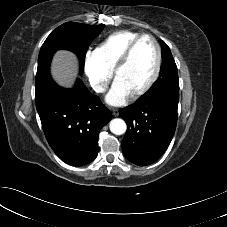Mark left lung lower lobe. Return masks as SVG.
<instances>
[{
  "instance_id": "0a47b994",
  "label": "left lung lower lobe",
  "mask_w": 227,
  "mask_h": 227,
  "mask_svg": "<svg viewBox=\"0 0 227 227\" xmlns=\"http://www.w3.org/2000/svg\"><path fill=\"white\" fill-rule=\"evenodd\" d=\"M178 102L179 96L159 92L120 110L127 123L122 151L130 162L150 165L165 152L176 129Z\"/></svg>"
}]
</instances>
